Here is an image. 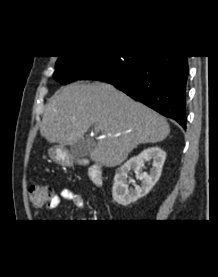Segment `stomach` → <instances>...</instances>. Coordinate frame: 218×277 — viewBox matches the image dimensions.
Wrapping results in <instances>:
<instances>
[{
    "mask_svg": "<svg viewBox=\"0 0 218 277\" xmlns=\"http://www.w3.org/2000/svg\"><path fill=\"white\" fill-rule=\"evenodd\" d=\"M48 154L52 160L62 165H69L70 160L67 151L62 146H54L49 149Z\"/></svg>",
    "mask_w": 218,
    "mask_h": 277,
    "instance_id": "stomach-1",
    "label": "stomach"
}]
</instances>
